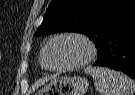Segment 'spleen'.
Segmentation results:
<instances>
[{"label": "spleen", "mask_w": 135, "mask_h": 95, "mask_svg": "<svg viewBox=\"0 0 135 95\" xmlns=\"http://www.w3.org/2000/svg\"><path fill=\"white\" fill-rule=\"evenodd\" d=\"M84 72L93 78L100 95H133L135 92V82L121 72L91 66L84 68Z\"/></svg>", "instance_id": "1"}]
</instances>
